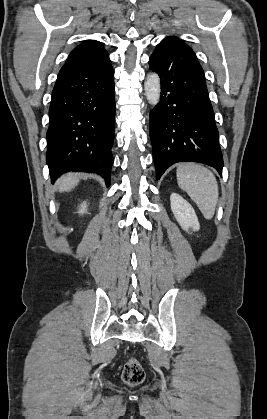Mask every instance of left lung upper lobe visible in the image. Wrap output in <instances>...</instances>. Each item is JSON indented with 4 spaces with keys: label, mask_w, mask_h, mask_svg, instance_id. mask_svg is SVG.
Segmentation results:
<instances>
[{
    "label": "left lung upper lobe",
    "mask_w": 267,
    "mask_h": 419,
    "mask_svg": "<svg viewBox=\"0 0 267 419\" xmlns=\"http://www.w3.org/2000/svg\"><path fill=\"white\" fill-rule=\"evenodd\" d=\"M164 40H173V41H178V42H181V43H183V44H185L182 40H180V39H178V38H175V37H167V38H165Z\"/></svg>",
    "instance_id": "left-lung-upper-lobe-1"
}]
</instances>
